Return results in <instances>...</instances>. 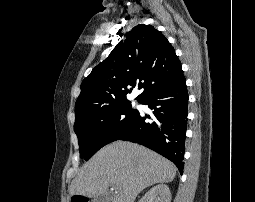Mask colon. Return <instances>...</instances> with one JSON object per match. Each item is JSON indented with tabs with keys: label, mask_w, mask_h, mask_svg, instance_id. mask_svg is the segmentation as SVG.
<instances>
[{
	"label": "colon",
	"mask_w": 255,
	"mask_h": 202,
	"mask_svg": "<svg viewBox=\"0 0 255 202\" xmlns=\"http://www.w3.org/2000/svg\"><path fill=\"white\" fill-rule=\"evenodd\" d=\"M71 202H88V200L83 197H74L72 198Z\"/></svg>",
	"instance_id": "colon-1"
}]
</instances>
